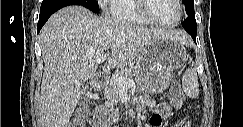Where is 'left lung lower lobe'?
<instances>
[{"label": "left lung lower lobe", "instance_id": "obj_1", "mask_svg": "<svg viewBox=\"0 0 243 127\" xmlns=\"http://www.w3.org/2000/svg\"><path fill=\"white\" fill-rule=\"evenodd\" d=\"M183 25V24H182ZM184 29L191 35V37L193 38L194 42L196 43V27H188L183 25Z\"/></svg>", "mask_w": 243, "mask_h": 127}]
</instances>
